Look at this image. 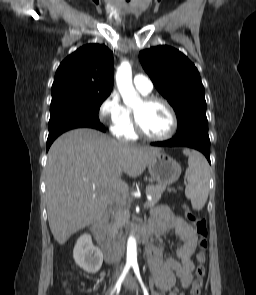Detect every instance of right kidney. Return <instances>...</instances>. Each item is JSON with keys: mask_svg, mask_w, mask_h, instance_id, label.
Returning a JSON list of instances; mask_svg holds the SVG:
<instances>
[{"mask_svg": "<svg viewBox=\"0 0 256 295\" xmlns=\"http://www.w3.org/2000/svg\"><path fill=\"white\" fill-rule=\"evenodd\" d=\"M73 258L75 263L89 274L97 273L103 263V254L99 248L93 246L89 234H83L78 238Z\"/></svg>", "mask_w": 256, "mask_h": 295, "instance_id": "obj_1", "label": "right kidney"}]
</instances>
